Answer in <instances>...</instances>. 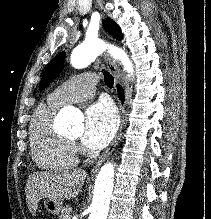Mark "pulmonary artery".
Segmentation results:
<instances>
[{"instance_id":"obj_1","label":"pulmonary artery","mask_w":211,"mask_h":219,"mask_svg":"<svg viewBox=\"0 0 211 219\" xmlns=\"http://www.w3.org/2000/svg\"><path fill=\"white\" fill-rule=\"evenodd\" d=\"M96 82L97 78L92 72L77 75L59 85L48 99L61 106L86 100L94 94Z\"/></svg>"}]
</instances>
